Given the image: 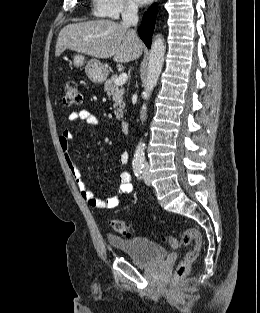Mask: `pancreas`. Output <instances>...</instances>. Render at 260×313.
Segmentation results:
<instances>
[{"label": "pancreas", "mask_w": 260, "mask_h": 313, "mask_svg": "<svg viewBox=\"0 0 260 313\" xmlns=\"http://www.w3.org/2000/svg\"><path fill=\"white\" fill-rule=\"evenodd\" d=\"M117 75H112L111 78L105 80L104 91L107 94L112 95L114 101V114L117 120H120L123 117V109L125 103L123 102V93L124 89L118 85H115V80Z\"/></svg>", "instance_id": "cf45deb5"}]
</instances>
